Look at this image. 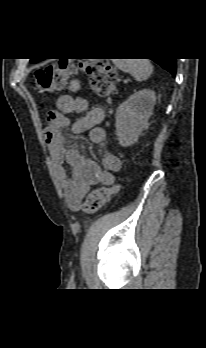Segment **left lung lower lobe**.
I'll list each match as a JSON object with an SVG mask.
<instances>
[{
    "mask_svg": "<svg viewBox=\"0 0 206 348\" xmlns=\"http://www.w3.org/2000/svg\"><path fill=\"white\" fill-rule=\"evenodd\" d=\"M159 65H161L164 69L169 71L172 75H175L176 73V62L175 58H158V59H152Z\"/></svg>",
    "mask_w": 206,
    "mask_h": 348,
    "instance_id": "0a47b994",
    "label": "left lung lower lobe"
}]
</instances>
